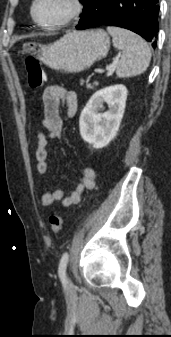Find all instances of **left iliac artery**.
I'll list each match as a JSON object with an SVG mask.
<instances>
[{
  "mask_svg": "<svg viewBox=\"0 0 171 337\" xmlns=\"http://www.w3.org/2000/svg\"><path fill=\"white\" fill-rule=\"evenodd\" d=\"M69 259V254L67 252L63 253L60 263H59V268H58V274L63 283L67 282L66 279V267Z\"/></svg>",
  "mask_w": 171,
  "mask_h": 337,
  "instance_id": "44dca946",
  "label": "left iliac artery"
}]
</instances>
